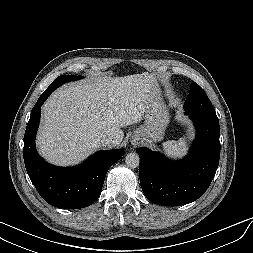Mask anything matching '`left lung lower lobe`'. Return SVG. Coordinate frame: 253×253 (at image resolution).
Returning <instances> with one entry per match:
<instances>
[{"mask_svg":"<svg viewBox=\"0 0 253 253\" xmlns=\"http://www.w3.org/2000/svg\"><path fill=\"white\" fill-rule=\"evenodd\" d=\"M197 135L188 156L169 161L160 153L138 148L140 184L148 200L180 206L197 200L209 187L220 158V127L216 112H186Z\"/></svg>","mask_w":253,"mask_h":253,"instance_id":"0a47b994","label":"left lung lower lobe"}]
</instances>
